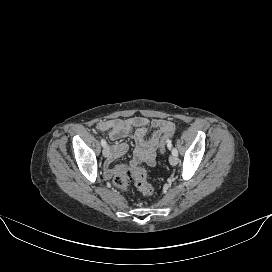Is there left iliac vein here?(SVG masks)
<instances>
[{
	"instance_id": "1",
	"label": "left iliac vein",
	"mask_w": 272,
	"mask_h": 272,
	"mask_svg": "<svg viewBox=\"0 0 272 272\" xmlns=\"http://www.w3.org/2000/svg\"><path fill=\"white\" fill-rule=\"evenodd\" d=\"M169 162H170V164L173 165V166L177 165V163H178V158H177V156L171 155V156L169 157Z\"/></svg>"
}]
</instances>
